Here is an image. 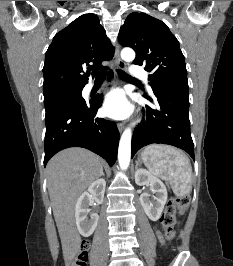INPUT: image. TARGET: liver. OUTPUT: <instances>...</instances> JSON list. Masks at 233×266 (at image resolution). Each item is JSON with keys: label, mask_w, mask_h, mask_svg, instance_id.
I'll return each instance as SVG.
<instances>
[{"label": "liver", "mask_w": 233, "mask_h": 266, "mask_svg": "<svg viewBox=\"0 0 233 266\" xmlns=\"http://www.w3.org/2000/svg\"><path fill=\"white\" fill-rule=\"evenodd\" d=\"M102 171V160L79 147L59 152L47 164L48 191L65 259L80 240L75 225L76 201Z\"/></svg>", "instance_id": "obj_1"}]
</instances>
